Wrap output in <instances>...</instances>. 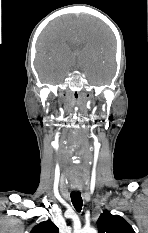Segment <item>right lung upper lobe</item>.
<instances>
[{"instance_id": "cb5924a9", "label": "right lung upper lobe", "mask_w": 148, "mask_h": 233, "mask_svg": "<svg viewBox=\"0 0 148 233\" xmlns=\"http://www.w3.org/2000/svg\"><path fill=\"white\" fill-rule=\"evenodd\" d=\"M58 227L50 220L41 222L30 233H58Z\"/></svg>"}]
</instances>
